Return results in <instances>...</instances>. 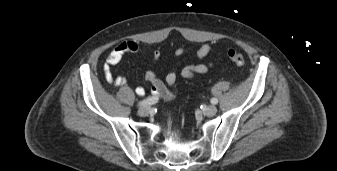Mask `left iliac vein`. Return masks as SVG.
I'll list each match as a JSON object with an SVG mask.
<instances>
[{
    "label": "left iliac vein",
    "instance_id": "1",
    "mask_svg": "<svg viewBox=\"0 0 337 171\" xmlns=\"http://www.w3.org/2000/svg\"><path fill=\"white\" fill-rule=\"evenodd\" d=\"M217 113V108L213 105H209L204 109V114L206 116L212 117Z\"/></svg>",
    "mask_w": 337,
    "mask_h": 171
}]
</instances>
